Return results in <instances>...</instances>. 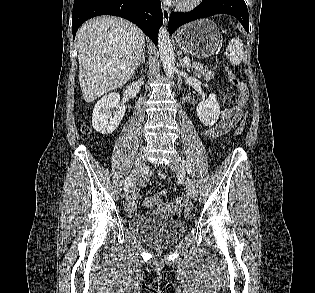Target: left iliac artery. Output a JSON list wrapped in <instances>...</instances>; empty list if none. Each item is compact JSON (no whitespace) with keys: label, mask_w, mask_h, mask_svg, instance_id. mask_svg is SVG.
<instances>
[{"label":"left iliac artery","mask_w":315,"mask_h":293,"mask_svg":"<svg viewBox=\"0 0 315 293\" xmlns=\"http://www.w3.org/2000/svg\"><path fill=\"white\" fill-rule=\"evenodd\" d=\"M183 168H185V169L188 171V173H190V171H189V169H188V166H187V164L185 163V161H183Z\"/></svg>","instance_id":"left-iliac-artery-1"}]
</instances>
